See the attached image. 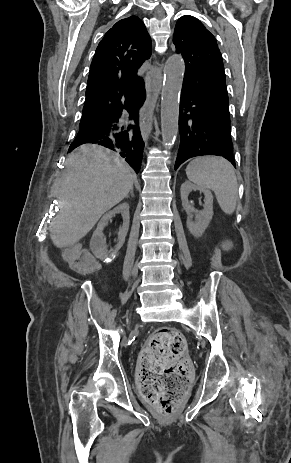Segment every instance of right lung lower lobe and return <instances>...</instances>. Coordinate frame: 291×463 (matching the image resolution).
Masks as SVG:
<instances>
[{
  "mask_svg": "<svg viewBox=\"0 0 291 463\" xmlns=\"http://www.w3.org/2000/svg\"><path fill=\"white\" fill-rule=\"evenodd\" d=\"M144 100L145 88L117 110L92 120L81 119L82 125L69 151L85 143L99 144L120 154L138 173L144 150V142L138 127V112ZM123 109L130 113V119H133L137 125L124 126L119 123Z\"/></svg>",
  "mask_w": 291,
  "mask_h": 463,
  "instance_id": "obj_1",
  "label": "right lung lower lobe"
}]
</instances>
